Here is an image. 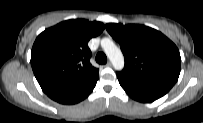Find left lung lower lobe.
Segmentation results:
<instances>
[{
	"mask_svg": "<svg viewBox=\"0 0 203 123\" xmlns=\"http://www.w3.org/2000/svg\"><path fill=\"white\" fill-rule=\"evenodd\" d=\"M117 77L121 87L126 93L139 102H152L166 94V92L131 82L119 76Z\"/></svg>",
	"mask_w": 203,
	"mask_h": 123,
	"instance_id": "0a47b994",
	"label": "left lung lower lobe"
}]
</instances>
